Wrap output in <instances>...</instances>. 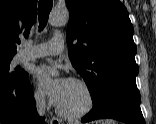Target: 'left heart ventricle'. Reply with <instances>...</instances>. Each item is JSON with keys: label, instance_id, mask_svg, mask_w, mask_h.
Returning a JSON list of instances; mask_svg holds the SVG:
<instances>
[{"label": "left heart ventricle", "instance_id": "1", "mask_svg": "<svg viewBox=\"0 0 156 124\" xmlns=\"http://www.w3.org/2000/svg\"><path fill=\"white\" fill-rule=\"evenodd\" d=\"M86 103L87 97L84 90L77 84L70 81L63 93L62 98L57 104L64 111L68 113H75L82 110Z\"/></svg>", "mask_w": 156, "mask_h": 124}]
</instances>
